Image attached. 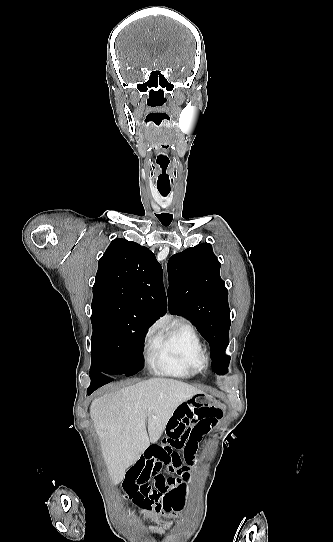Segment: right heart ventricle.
<instances>
[{
  "label": "right heart ventricle",
  "instance_id": "e07e8e85",
  "mask_svg": "<svg viewBox=\"0 0 333 542\" xmlns=\"http://www.w3.org/2000/svg\"><path fill=\"white\" fill-rule=\"evenodd\" d=\"M157 370L176 377H194L205 365V352L195 329L187 323L161 333L147 350Z\"/></svg>",
  "mask_w": 333,
  "mask_h": 542
}]
</instances>
